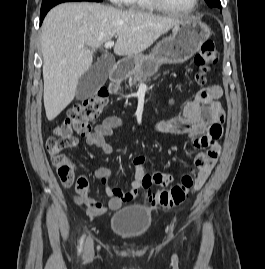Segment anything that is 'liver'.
<instances>
[{
    "instance_id": "obj_1",
    "label": "liver",
    "mask_w": 265,
    "mask_h": 269,
    "mask_svg": "<svg viewBox=\"0 0 265 269\" xmlns=\"http://www.w3.org/2000/svg\"><path fill=\"white\" fill-rule=\"evenodd\" d=\"M181 21L99 3H63L51 9L41 41L47 119H55L72 102L95 49L117 36L114 53L134 57Z\"/></svg>"
}]
</instances>
